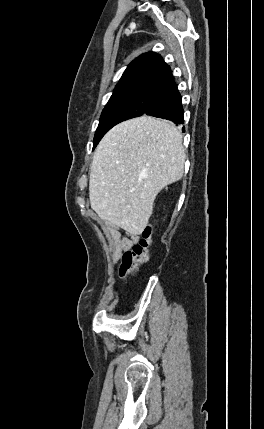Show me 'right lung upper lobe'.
Instances as JSON below:
<instances>
[{"instance_id": "cb5924a9", "label": "right lung upper lobe", "mask_w": 264, "mask_h": 429, "mask_svg": "<svg viewBox=\"0 0 264 429\" xmlns=\"http://www.w3.org/2000/svg\"><path fill=\"white\" fill-rule=\"evenodd\" d=\"M172 79L170 67L154 52L145 53L132 61L114 91L150 86L162 88Z\"/></svg>"}]
</instances>
